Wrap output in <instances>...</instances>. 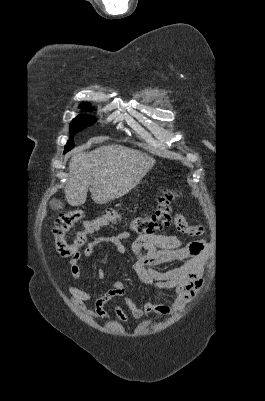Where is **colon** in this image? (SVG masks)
Wrapping results in <instances>:
<instances>
[{"label": "colon", "instance_id": "5ec220e1", "mask_svg": "<svg viewBox=\"0 0 265 401\" xmlns=\"http://www.w3.org/2000/svg\"><path fill=\"white\" fill-rule=\"evenodd\" d=\"M174 196V191L165 189L158 197L157 209L151 214L134 217L130 220L129 227L140 235H150L168 226L171 222L170 203ZM82 217V210H74L63 213L56 219L52 233L56 250L62 257L73 256L85 244L89 234L121 219V215L117 211L108 210L102 216L86 221L75 241L68 243L65 239L67 233Z\"/></svg>", "mask_w": 265, "mask_h": 401}]
</instances>
